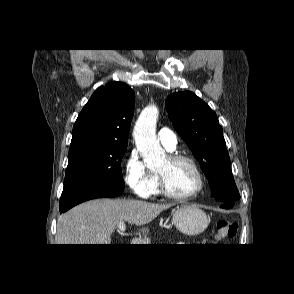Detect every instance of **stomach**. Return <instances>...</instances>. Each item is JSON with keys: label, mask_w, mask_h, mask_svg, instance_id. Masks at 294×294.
<instances>
[{"label": "stomach", "mask_w": 294, "mask_h": 294, "mask_svg": "<svg viewBox=\"0 0 294 294\" xmlns=\"http://www.w3.org/2000/svg\"><path fill=\"white\" fill-rule=\"evenodd\" d=\"M173 223L185 235H198L209 225L207 215L196 205L177 207L173 214Z\"/></svg>", "instance_id": "0dacf381"}]
</instances>
